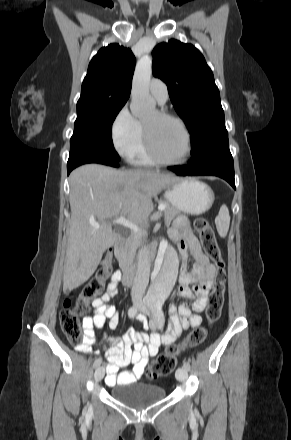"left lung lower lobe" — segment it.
<instances>
[{
    "label": "left lung lower lobe",
    "instance_id": "1",
    "mask_svg": "<svg viewBox=\"0 0 291 440\" xmlns=\"http://www.w3.org/2000/svg\"><path fill=\"white\" fill-rule=\"evenodd\" d=\"M179 176L214 175L225 179L235 189L234 164L228 138L217 141L204 152L193 157L189 165L170 166Z\"/></svg>",
    "mask_w": 291,
    "mask_h": 440
}]
</instances>
